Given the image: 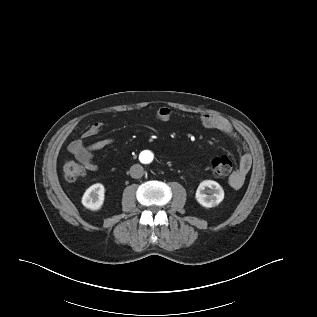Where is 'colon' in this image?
<instances>
[{"instance_id": "1", "label": "colon", "mask_w": 317, "mask_h": 317, "mask_svg": "<svg viewBox=\"0 0 317 317\" xmlns=\"http://www.w3.org/2000/svg\"><path fill=\"white\" fill-rule=\"evenodd\" d=\"M210 167L213 175L217 177H224L231 173L233 169V162L227 156H220L212 159ZM85 172L86 168L73 160H66L63 164L64 176L69 181L79 179L85 174Z\"/></svg>"}]
</instances>
